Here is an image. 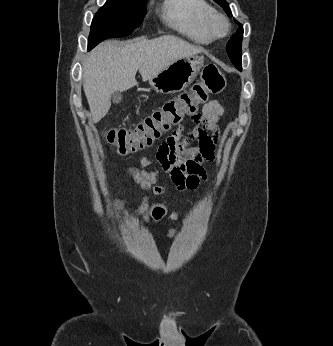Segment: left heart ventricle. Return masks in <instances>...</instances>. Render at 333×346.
<instances>
[{
	"mask_svg": "<svg viewBox=\"0 0 333 346\" xmlns=\"http://www.w3.org/2000/svg\"><path fill=\"white\" fill-rule=\"evenodd\" d=\"M218 32H221L223 30V25L221 23H218L216 26Z\"/></svg>",
	"mask_w": 333,
	"mask_h": 346,
	"instance_id": "obj_1",
	"label": "left heart ventricle"
}]
</instances>
